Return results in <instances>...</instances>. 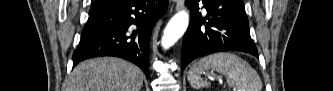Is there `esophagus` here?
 Returning a JSON list of instances; mask_svg holds the SVG:
<instances>
[{
  "label": "esophagus",
  "instance_id": "obj_1",
  "mask_svg": "<svg viewBox=\"0 0 333 91\" xmlns=\"http://www.w3.org/2000/svg\"><path fill=\"white\" fill-rule=\"evenodd\" d=\"M175 3V9L176 10H180L183 6V0H174L173 1Z\"/></svg>",
  "mask_w": 333,
  "mask_h": 91
}]
</instances>
